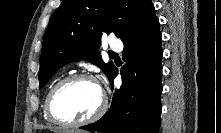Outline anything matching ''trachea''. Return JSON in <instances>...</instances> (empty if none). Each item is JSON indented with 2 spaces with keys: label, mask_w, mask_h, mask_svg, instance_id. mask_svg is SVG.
Instances as JSON below:
<instances>
[{
  "label": "trachea",
  "mask_w": 221,
  "mask_h": 133,
  "mask_svg": "<svg viewBox=\"0 0 221 133\" xmlns=\"http://www.w3.org/2000/svg\"><path fill=\"white\" fill-rule=\"evenodd\" d=\"M109 56L110 57H115V56H118L116 53L112 52V53H109Z\"/></svg>",
  "instance_id": "3493384b"
}]
</instances>
